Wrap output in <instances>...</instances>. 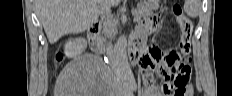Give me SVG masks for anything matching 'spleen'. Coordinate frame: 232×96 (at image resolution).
Wrapping results in <instances>:
<instances>
[{
    "instance_id": "obj_1",
    "label": "spleen",
    "mask_w": 232,
    "mask_h": 96,
    "mask_svg": "<svg viewBox=\"0 0 232 96\" xmlns=\"http://www.w3.org/2000/svg\"><path fill=\"white\" fill-rule=\"evenodd\" d=\"M184 11L188 16L196 18L201 13V1L185 0Z\"/></svg>"
}]
</instances>
